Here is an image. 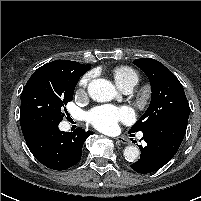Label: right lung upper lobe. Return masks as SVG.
I'll return each instance as SVG.
<instances>
[{
    "instance_id": "right-lung-upper-lobe-1",
    "label": "right lung upper lobe",
    "mask_w": 201,
    "mask_h": 201,
    "mask_svg": "<svg viewBox=\"0 0 201 201\" xmlns=\"http://www.w3.org/2000/svg\"><path fill=\"white\" fill-rule=\"evenodd\" d=\"M71 62H74V61L56 60V61H53L51 63H53V64H69Z\"/></svg>"
}]
</instances>
